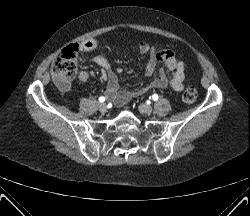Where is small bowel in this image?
I'll return each instance as SVG.
<instances>
[{
	"mask_svg": "<svg viewBox=\"0 0 250 216\" xmlns=\"http://www.w3.org/2000/svg\"><path fill=\"white\" fill-rule=\"evenodd\" d=\"M96 47L97 41L91 39L83 42L79 49L82 52H89ZM138 48L142 54L149 55V61L146 65L148 82L132 91L120 89L118 78L104 56L97 55L94 57V62L102 69L101 79L107 83L106 94L110 99L121 106L128 102L131 97L142 95L150 88H160L174 92L183 90L185 66L171 50H159L146 42H141ZM157 71L158 74L156 75ZM165 71L170 72L169 77H166ZM77 78L80 83H87L90 73L84 70L80 71ZM59 88L66 91L69 85L65 81H61L59 82Z\"/></svg>",
	"mask_w": 250,
	"mask_h": 216,
	"instance_id": "1",
	"label": "small bowel"
}]
</instances>
